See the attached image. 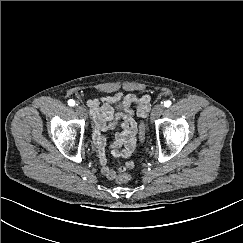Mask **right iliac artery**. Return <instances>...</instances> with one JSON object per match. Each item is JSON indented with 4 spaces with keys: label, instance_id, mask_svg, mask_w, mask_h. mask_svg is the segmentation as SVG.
Listing matches in <instances>:
<instances>
[{
    "label": "right iliac artery",
    "instance_id": "right-iliac-artery-1",
    "mask_svg": "<svg viewBox=\"0 0 243 243\" xmlns=\"http://www.w3.org/2000/svg\"><path fill=\"white\" fill-rule=\"evenodd\" d=\"M68 105L69 106H75V101L74 100H72V99H70L69 101H68Z\"/></svg>",
    "mask_w": 243,
    "mask_h": 243
}]
</instances>
